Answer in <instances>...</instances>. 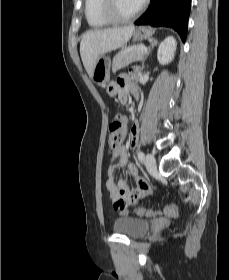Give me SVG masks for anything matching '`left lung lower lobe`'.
Listing matches in <instances>:
<instances>
[{"mask_svg": "<svg viewBox=\"0 0 229 280\" xmlns=\"http://www.w3.org/2000/svg\"><path fill=\"white\" fill-rule=\"evenodd\" d=\"M190 6L191 0H151L148 10L135 24L173 28L185 42Z\"/></svg>", "mask_w": 229, "mask_h": 280, "instance_id": "obj_1", "label": "left lung lower lobe"}]
</instances>
